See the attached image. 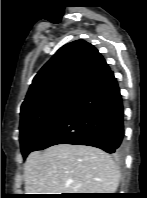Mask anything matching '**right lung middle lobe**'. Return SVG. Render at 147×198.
I'll return each instance as SVG.
<instances>
[{
    "instance_id": "right-lung-middle-lobe-1",
    "label": "right lung middle lobe",
    "mask_w": 147,
    "mask_h": 198,
    "mask_svg": "<svg viewBox=\"0 0 147 198\" xmlns=\"http://www.w3.org/2000/svg\"><path fill=\"white\" fill-rule=\"evenodd\" d=\"M75 101H55L39 106L21 116L20 145L24 158L37 143L72 108Z\"/></svg>"
}]
</instances>
